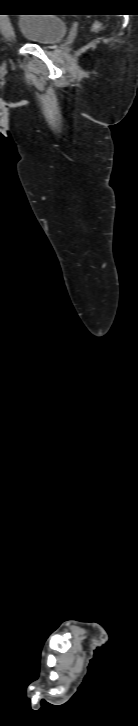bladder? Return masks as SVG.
Masks as SVG:
<instances>
[{"label": "bladder", "instance_id": "obj_1", "mask_svg": "<svg viewBox=\"0 0 138 726\" xmlns=\"http://www.w3.org/2000/svg\"><path fill=\"white\" fill-rule=\"evenodd\" d=\"M18 21L20 33L28 40L38 44H51L60 41L67 33L64 18L54 14H25Z\"/></svg>", "mask_w": 138, "mask_h": 726}]
</instances>
